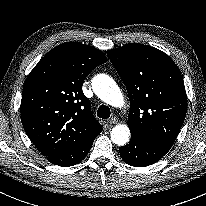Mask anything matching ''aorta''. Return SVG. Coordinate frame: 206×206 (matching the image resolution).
I'll list each match as a JSON object with an SVG mask.
<instances>
[{
	"mask_svg": "<svg viewBox=\"0 0 206 206\" xmlns=\"http://www.w3.org/2000/svg\"><path fill=\"white\" fill-rule=\"evenodd\" d=\"M92 87L96 95L105 103L121 107L124 105L122 92L115 81L106 74H99L93 78ZM130 130L127 125L119 124L111 131L113 143L123 146L129 141Z\"/></svg>",
	"mask_w": 206,
	"mask_h": 206,
	"instance_id": "obj_1",
	"label": "aorta"
}]
</instances>
